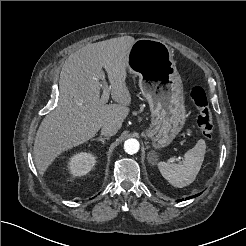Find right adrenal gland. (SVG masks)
<instances>
[{
	"label": "right adrenal gland",
	"mask_w": 246,
	"mask_h": 246,
	"mask_svg": "<svg viewBox=\"0 0 246 246\" xmlns=\"http://www.w3.org/2000/svg\"><path fill=\"white\" fill-rule=\"evenodd\" d=\"M109 140V137H98V138H93L92 141H100L102 144H105V141Z\"/></svg>",
	"instance_id": "obj_1"
}]
</instances>
